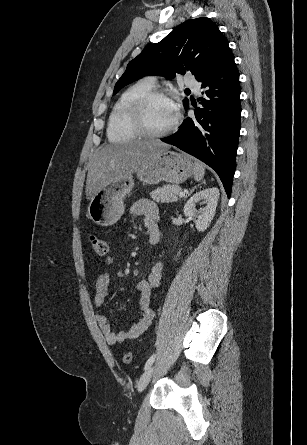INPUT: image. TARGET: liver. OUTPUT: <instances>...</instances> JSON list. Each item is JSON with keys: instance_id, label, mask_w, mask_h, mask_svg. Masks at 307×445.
<instances>
[{"instance_id": "obj_1", "label": "liver", "mask_w": 307, "mask_h": 445, "mask_svg": "<svg viewBox=\"0 0 307 445\" xmlns=\"http://www.w3.org/2000/svg\"><path fill=\"white\" fill-rule=\"evenodd\" d=\"M161 140H131L124 144H106L98 150L88 166L86 198H93L104 184H110L118 176H129L140 166L150 164L151 160L163 150L170 148Z\"/></svg>"}]
</instances>
